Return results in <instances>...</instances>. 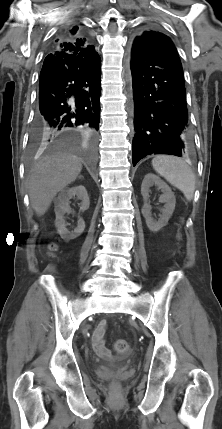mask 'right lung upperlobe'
<instances>
[{
    "label": "right lung upper lobe",
    "mask_w": 222,
    "mask_h": 429,
    "mask_svg": "<svg viewBox=\"0 0 222 429\" xmlns=\"http://www.w3.org/2000/svg\"><path fill=\"white\" fill-rule=\"evenodd\" d=\"M55 51H63L78 56V59L95 55V48L88 45L85 38L75 35V32H66L54 43Z\"/></svg>",
    "instance_id": "1"
}]
</instances>
